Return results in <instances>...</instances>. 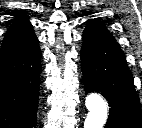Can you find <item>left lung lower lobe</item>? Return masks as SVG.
<instances>
[{"mask_svg": "<svg viewBox=\"0 0 142 128\" xmlns=\"http://www.w3.org/2000/svg\"><path fill=\"white\" fill-rule=\"evenodd\" d=\"M81 69L85 91L108 101L106 128H142L140 100L125 55L115 38L87 22L83 32Z\"/></svg>", "mask_w": 142, "mask_h": 128, "instance_id": "left-lung-lower-lobe-1", "label": "left lung lower lobe"}]
</instances>
